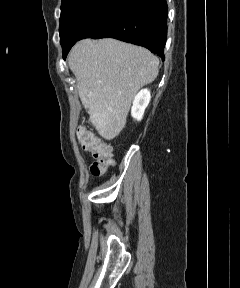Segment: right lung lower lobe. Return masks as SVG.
<instances>
[{"mask_svg":"<svg viewBox=\"0 0 240 288\" xmlns=\"http://www.w3.org/2000/svg\"><path fill=\"white\" fill-rule=\"evenodd\" d=\"M167 14L166 0H115L80 39L111 37L143 46L161 57L167 39ZM71 47L63 49L64 59Z\"/></svg>","mask_w":240,"mask_h":288,"instance_id":"98d812e1","label":"right lung lower lobe"}]
</instances>
